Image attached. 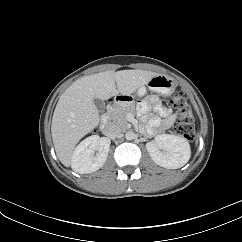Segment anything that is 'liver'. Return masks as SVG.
<instances>
[{
	"label": "liver",
	"instance_id": "1",
	"mask_svg": "<svg viewBox=\"0 0 242 242\" xmlns=\"http://www.w3.org/2000/svg\"><path fill=\"white\" fill-rule=\"evenodd\" d=\"M158 73L144 70L105 71L76 80L61 95L52 118L51 133L60 162L69 167L74 147L100 122L94 99L130 95Z\"/></svg>",
	"mask_w": 242,
	"mask_h": 242
}]
</instances>
